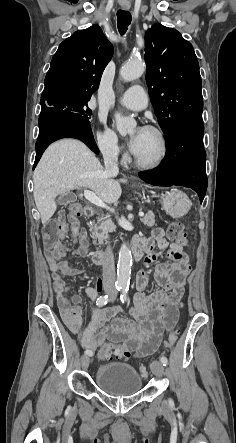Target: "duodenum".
<instances>
[{
	"instance_id": "duodenum-1",
	"label": "duodenum",
	"mask_w": 236,
	"mask_h": 443,
	"mask_svg": "<svg viewBox=\"0 0 236 443\" xmlns=\"http://www.w3.org/2000/svg\"><path fill=\"white\" fill-rule=\"evenodd\" d=\"M85 215L89 218H92L95 216V210L91 206H87L85 208ZM132 254L135 260H138L141 257L142 249L138 246H132ZM93 261L97 266H101L105 264L106 258L104 254L100 251H95L93 253Z\"/></svg>"
}]
</instances>
